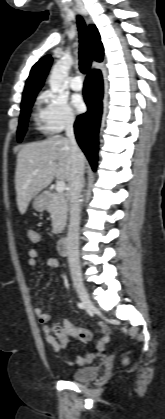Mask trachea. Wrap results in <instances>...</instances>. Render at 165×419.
Instances as JSON below:
<instances>
[{
  "label": "trachea",
  "instance_id": "trachea-1",
  "mask_svg": "<svg viewBox=\"0 0 165 419\" xmlns=\"http://www.w3.org/2000/svg\"><path fill=\"white\" fill-rule=\"evenodd\" d=\"M77 24L79 30L80 50H79V65L82 73H87L92 63L90 52V45L87 38L86 25L81 16H77Z\"/></svg>",
  "mask_w": 165,
  "mask_h": 419
}]
</instances>
